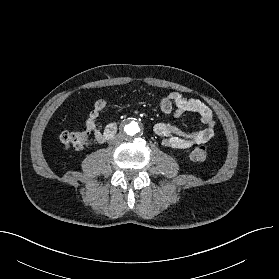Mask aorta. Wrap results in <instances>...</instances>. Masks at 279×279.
I'll return each mask as SVG.
<instances>
[{
	"mask_svg": "<svg viewBox=\"0 0 279 279\" xmlns=\"http://www.w3.org/2000/svg\"><path fill=\"white\" fill-rule=\"evenodd\" d=\"M122 133L127 138L137 137L141 133V123L137 120H127L122 126Z\"/></svg>",
	"mask_w": 279,
	"mask_h": 279,
	"instance_id": "obj_1",
	"label": "aorta"
}]
</instances>
